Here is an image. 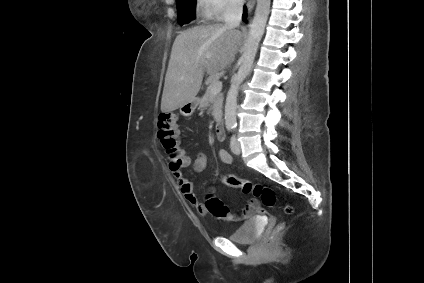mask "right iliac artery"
<instances>
[{"instance_id": "82829eb1", "label": "right iliac artery", "mask_w": 424, "mask_h": 283, "mask_svg": "<svg viewBox=\"0 0 424 283\" xmlns=\"http://www.w3.org/2000/svg\"><path fill=\"white\" fill-rule=\"evenodd\" d=\"M232 129H233V126H228V127H227V130H228V131H231Z\"/></svg>"}]
</instances>
